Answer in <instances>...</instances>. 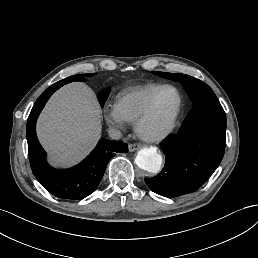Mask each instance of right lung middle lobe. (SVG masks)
<instances>
[{
  "label": "right lung middle lobe",
  "mask_w": 258,
  "mask_h": 258,
  "mask_svg": "<svg viewBox=\"0 0 258 258\" xmlns=\"http://www.w3.org/2000/svg\"><path fill=\"white\" fill-rule=\"evenodd\" d=\"M93 75H94V74H82L81 76H93ZM109 92H110V89L108 88V89H105V90H103V91H101V92L99 93V95H98V100H99V102H100L101 107L104 106V104H105V102H106V100H107V97H108V95H109Z\"/></svg>",
  "instance_id": "obj_1"
}]
</instances>
